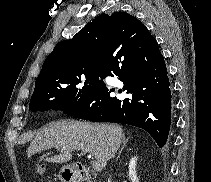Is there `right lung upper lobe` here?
Listing matches in <instances>:
<instances>
[{
  "label": "right lung upper lobe",
  "instance_id": "cb5924a9",
  "mask_svg": "<svg viewBox=\"0 0 211 182\" xmlns=\"http://www.w3.org/2000/svg\"><path fill=\"white\" fill-rule=\"evenodd\" d=\"M148 36H151L149 30L128 13L101 14L71 40L57 43L43 63L35 88L80 72L100 69L107 48L118 44L121 47Z\"/></svg>",
  "mask_w": 211,
  "mask_h": 182
}]
</instances>
